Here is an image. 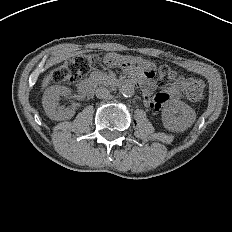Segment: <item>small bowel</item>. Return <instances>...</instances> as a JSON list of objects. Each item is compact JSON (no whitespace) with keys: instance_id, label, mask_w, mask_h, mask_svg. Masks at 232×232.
Here are the masks:
<instances>
[{"instance_id":"obj_1","label":"small bowel","mask_w":232,"mask_h":232,"mask_svg":"<svg viewBox=\"0 0 232 232\" xmlns=\"http://www.w3.org/2000/svg\"><path fill=\"white\" fill-rule=\"evenodd\" d=\"M104 62L109 67L122 66L126 68H136L141 71L142 76L144 77L142 80V87L144 90L145 102L153 111H158L169 99L174 100L180 98L186 91V84L188 80L179 78L168 91L159 92L155 96H152L151 91L154 84L151 77L153 76L154 67L150 61L142 57L127 54H109L105 57Z\"/></svg>"}]
</instances>
